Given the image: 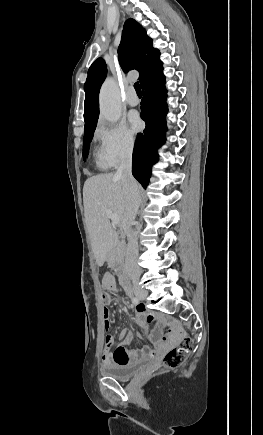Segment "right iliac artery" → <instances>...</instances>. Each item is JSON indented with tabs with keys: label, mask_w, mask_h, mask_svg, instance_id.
<instances>
[{
	"label": "right iliac artery",
	"mask_w": 263,
	"mask_h": 435,
	"mask_svg": "<svg viewBox=\"0 0 263 435\" xmlns=\"http://www.w3.org/2000/svg\"><path fill=\"white\" fill-rule=\"evenodd\" d=\"M132 302L134 304H137L139 302V299L137 297H133Z\"/></svg>",
	"instance_id": "obj_1"
}]
</instances>
